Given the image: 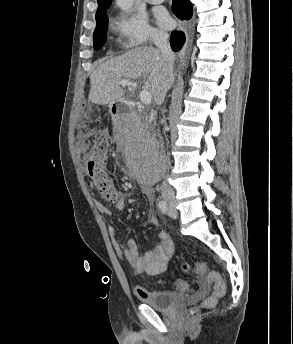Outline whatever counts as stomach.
<instances>
[{
    "instance_id": "0dacf381",
    "label": "stomach",
    "mask_w": 293,
    "mask_h": 344,
    "mask_svg": "<svg viewBox=\"0 0 293 344\" xmlns=\"http://www.w3.org/2000/svg\"><path fill=\"white\" fill-rule=\"evenodd\" d=\"M112 107H113V104H111L110 108H112Z\"/></svg>"
}]
</instances>
